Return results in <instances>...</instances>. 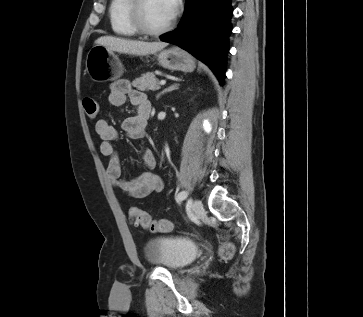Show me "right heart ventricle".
Masks as SVG:
<instances>
[{
    "label": "right heart ventricle",
    "mask_w": 363,
    "mask_h": 317,
    "mask_svg": "<svg viewBox=\"0 0 363 317\" xmlns=\"http://www.w3.org/2000/svg\"><path fill=\"white\" fill-rule=\"evenodd\" d=\"M130 0H111L109 4V20L112 31L119 36L134 37L138 33L128 20Z\"/></svg>",
    "instance_id": "right-heart-ventricle-1"
}]
</instances>
